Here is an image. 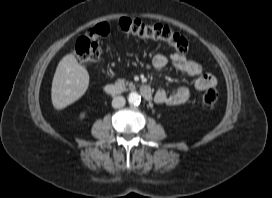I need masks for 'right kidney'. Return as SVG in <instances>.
<instances>
[{"label":"right kidney","mask_w":272,"mask_h":198,"mask_svg":"<svg viewBox=\"0 0 272 198\" xmlns=\"http://www.w3.org/2000/svg\"><path fill=\"white\" fill-rule=\"evenodd\" d=\"M85 117V113H81L80 114V118L82 119V118H84Z\"/></svg>","instance_id":"right-kidney-1"}]
</instances>
